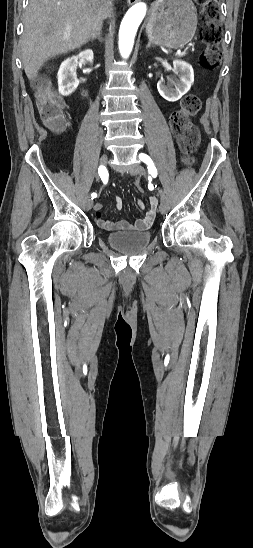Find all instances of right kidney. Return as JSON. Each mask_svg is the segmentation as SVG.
Here are the masks:
<instances>
[{"label":"right kidney","instance_id":"1","mask_svg":"<svg viewBox=\"0 0 253 548\" xmlns=\"http://www.w3.org/2000/svg\"><path fill=\"white\" fill-rule=\"evenodd\" d=\"M93 51L87 49L82 51L77 56H72L64 60L59 68L58 77V90L63 96L71 95L78 87L79 81L77 79L76 67L78 61H93Z\"/></svg>","mask_w":253,"mask_h":548}]
</instances>
